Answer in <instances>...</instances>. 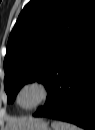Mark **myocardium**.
Listing matches in <instances>:
<instances>
[{"label":"myocardium","mask_w":95,"mask_h":130,"mask_svg":"<svg viewBox=\"0 0 95 130\" xmlns=\"http://www.w3.org/2000/svg\"><path fill=\"white\" fill-rule=\"evenodd\" d=\"M29 86H36L38 87L41 92H42V97L40 99V101L32 106V107H29V108H25V107H22L20 104H19V95L20 93L27 87ZM50 97V87L49 85L44 81V80H41V79H30L28 81H25L17 90L16 92V95H15V103L16 105L24 110V111H34L36 109H38L39 107H41L42 105H44L48 99Z\"/></svg>","instance_id":"1"}]
</instances>
